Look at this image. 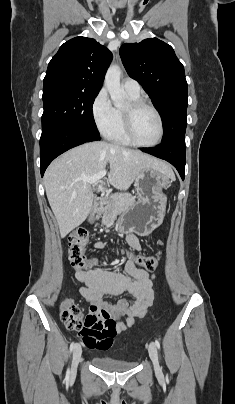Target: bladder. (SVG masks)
<instances>
[{
  "label": "bladder",
  "mask_w": 235,
  "mask_h": 404,
  "mask_svg": "<svg viewBox=\"0 0 235 404\" xmlns=\"http://www.w3.org/2000/svg\"><path fill=\"white\" fill-rule=\"evenodd\" d=\"M92 363L97 368L108 372H125L131 370L135 366L133 361H123L113 356H94Z\"/></svg>",
  "instance_id": "bladder-1"
}]
</instances>
